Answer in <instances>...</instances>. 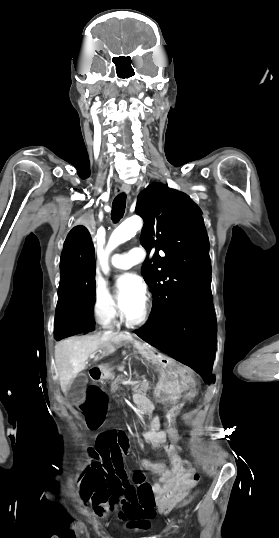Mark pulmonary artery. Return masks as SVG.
I'll return each instance as SVG.
<instances>
[{
  "mask_svg": "<svg viewBox=\"0 0 279 538\" xmlns=\"http://www.w3.org/2000/svg\"><path fill=\"white\" fill-rule=\"evenodd\" d=\"M140 261H141L140 259L132 260L129 257V253L126 252V253H115L112 256L111 263H112V266L116 269L127 270L130 267H132L133 264Z\"/></svg>",
  "mask_w": 279,
  "mask_h": 538,
  "instance_id": "obj_1",
  "label": "pulmonary artery"
}]
</instances>
